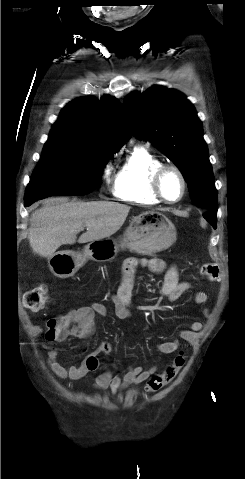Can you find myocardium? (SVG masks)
Wrapping results in <instances>:
<instances>
[{"label": "myocardium", "mask_w": 245, "mask_h": 479, "mask_svg": "<svg viewBox=\"0 0 245 479\" xmlns=\"http://www.w3.org/2000/svg\"><path fill=\"white\" fill-rule=\"evenodd\" d=\"M170 172L176 174L181 183V193L179 197L175 200L168 199L163 192V180L165 176ZM151 185L152 190L154 194L158 197V199L168 204L180 202L184 198L187 191V181L183 172L173 164H163L158 167L153 173Z\"/></svg>", "instance_id": "1"}]
</instances>
